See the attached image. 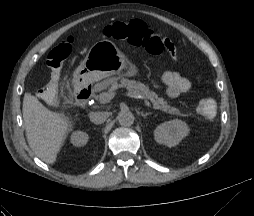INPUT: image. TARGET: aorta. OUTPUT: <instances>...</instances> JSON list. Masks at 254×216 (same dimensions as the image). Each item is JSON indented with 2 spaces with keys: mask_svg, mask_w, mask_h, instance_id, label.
Masks as SVG:
<instances>
[{
  "mask_svg": "<svg viewBox=\"0 0 254 216\" xmlns=\"http://www.w3.org/2000/svg\"><path fill=\"white\" fill-rule=\"evenodd\" d=\"M134 115L129 110H122L117 116V120L122 126H131L134 123Z\"/></svg>",
  "mask_w": 254,
  "mask_h": 216,
  "instance_id": "aorta-1",
  "label": "aorta"
}]
</instances>
